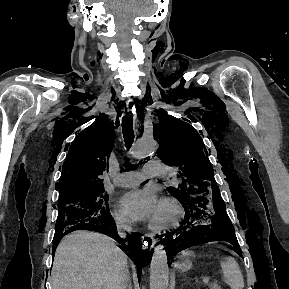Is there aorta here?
<instances>
[{
  "label": "aorta",
  "mask_w": 289,
  "mask_h": 289,
  "mask_svg": "<svg viewBox=\"0 0 289 289\" xmlns=\"http://www.w3.org/2000/svg\"><path fill=\"white\" fill-rule=\"evenodd\" d=\"M157 152V143L153 137H141L135 144L132 156L135 159L152 157ZM168 260L162 245L154 248L150 264V289H168Z\"/></svg>",
  "instance_id": "aorta-1"
}]
</instances>
